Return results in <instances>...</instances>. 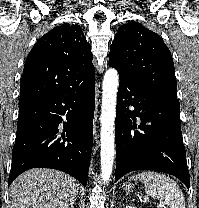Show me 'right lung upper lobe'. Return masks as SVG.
I'll list each match as a JSON object with an SVG mask.
<instances>
[{
    "label": "right lung upper lobe",
    "mask_w": 199,
    "mask_h": 208,
    "mask_svg": "<svg viewBox=\"0 0 199 208\" xmlns=\"http://www.w3.org/2000/svg\"><path fill=\"white\" fill-rule=\"evenodd\" d=\"M92 59L79 25L55 27L36 42L27 56L19 104L84 86L95 78Z\"/></svg>",
    "instance_id": "obj_1"
}]
</instances>
